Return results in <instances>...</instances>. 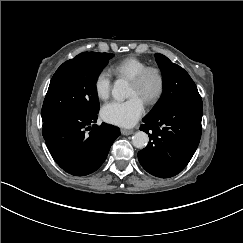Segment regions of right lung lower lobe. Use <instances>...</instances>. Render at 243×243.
I'll return each mask as SVG.
<instances>
[{"mask_svg":"<svg viewBox=\"0 0 243 243\" xmlns=\"http://www.w3.org/2000/svg\"><path fill=\"white\" fill-rule=\"evenodd\" d=\"M97 114L68 110L42 119V133L51 156L71 175L84 176L96 171L120 135L115 126L95 125Z\"/></svg>","mask_w":243,"mask_h":243,"instance_id":"98d812e1","label":"right lung lower lobe"}]
</instances>
